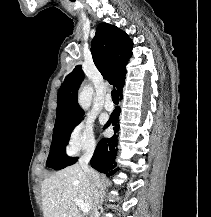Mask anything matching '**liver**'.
Instances as JSON below:
<instances>
[{
    "mask_svg": "<svg viewBox=\"0 0 211 217\" xmlns=\"http://www.w3.org/2000/svg\"><path fill=\"white\" fill-rule=\"evenodd\" d=\"M105 188L100 174L90 170L87 175L80 164L60 170L42 182V209L44 217H82L74 199H80L93 208V190ZM99 192V191H98Z\"/></svg>",
    "mask_w": 211,
    "mask_h": 217,
    "instance_id": "6515ba94",
    "label": "liver"
}]
</instances>
